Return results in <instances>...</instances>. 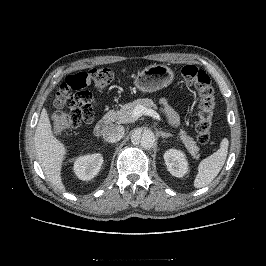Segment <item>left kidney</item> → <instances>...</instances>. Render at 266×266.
Returning a JSON list of instances; mask_svg holds the SVG:
<instances>
[{
    "label": "left kidney",
    "mask_w": 266,
    "mask_h": 266,
    "mask_svg": "<svg viewBox=\"0 0 266 266\" xmlns=\"http://www.w3.org/2000/svg\"><path fill=\"white\" fill-rule=\"evenodd\" d=\"M168 171L175 177H183L188 171V162L185 154L176 149H169L164 154Z\"/></svg>",
    "instance_id": "obj_1"
}]
</instances>
